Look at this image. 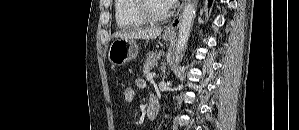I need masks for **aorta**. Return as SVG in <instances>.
Listing matches in <instances>:
<instances>
[{
  "label": "aorta",
  "instance_id": "obj_1",
  "mask_svg": "<svg viewBox=\"0 0 299 130\" xmlns=\"http://www.w3.org/2000/svg\"><path fill=\"white\" fill-rule=\"evenodd\" d=\"M197 0H188L183 9L181 22L179 24V35L176 44L175 63H179L187 46L190 32L196 15Z\"/></svg>",
  "mask_w": 299,
  "mask_h": 130
}]
</instances>
